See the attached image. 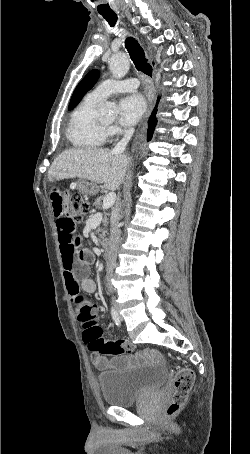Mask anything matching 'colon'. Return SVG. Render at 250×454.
I'll list each match as a JSON object with an SVG mask.
<instances>
[{
    "mask_svg": "<svg viewBox=\"0 0 250 454\" xmlns=\"http://www.w3.org/2000/svg\"><path fill=\"white\" fill-rule=\"evenodd\" d=\"M88 211V202L80 194L72 195L69 208V218L71 221L74 223L81 222ZM80 322L84 329L83 340L86 342L90 351L111 356H119L132 352V345L125 340L109 341L105 339L104 331L97 315L88 314ZM194 380V372L190 368L177 367L174 375L175 390L166 409L168 415L176 414L186 403Z\"/></svg>",
    "mask_w": 250,
    "mask_h": 454,
    "instance_id": "1",
    "label": "colon"
}]
</instances>
